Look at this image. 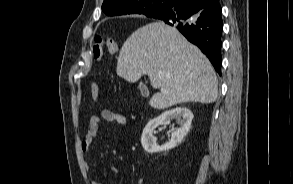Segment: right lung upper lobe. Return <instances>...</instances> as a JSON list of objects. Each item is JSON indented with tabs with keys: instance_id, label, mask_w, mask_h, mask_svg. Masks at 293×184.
I'll return each instance as SVG.
<instances>
[{
	"instance_id": "1",
	"label": "right lung upper lobe",
	"mask_w": 293,
	"mask_h": 184,
	"mask_svg": "<svg viewBox=\"0 0 293 184\" xmlns=\"http://www.w3.org/2000/svg\"><path fill=\"white\" fill-rule=\"evenodd\" d=\"M158 1H163V0H104L102 5V10L108 16H118V15H126V14H144L147 17H154L155 15H151L149 13V8L152 4ZM176 1L177 0H165V3H166L165 8L174 5ZM197 1H201L202 3H204V7H207L219 0H197Z\"/></svg>"
}]
</instances>
